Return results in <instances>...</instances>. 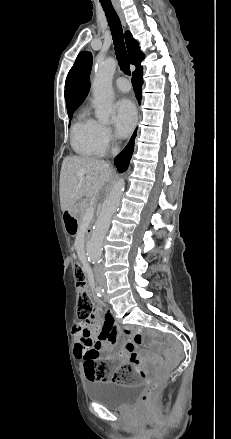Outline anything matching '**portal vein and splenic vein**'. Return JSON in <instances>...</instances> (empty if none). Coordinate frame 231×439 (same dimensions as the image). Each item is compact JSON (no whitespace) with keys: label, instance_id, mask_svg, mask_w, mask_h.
I'll return each instance as SVG.
<instances>
[{"label":"portal vein and splenic vein","instance_id":"obj_1","mask_svg":"<svg viewBox=\"0 0 231 439\" xmlns=\"http://www.w3.org/2000/svg\"><path fill=\"white\" fill-rule=\"evenodd\" d=\"M93 215H94V206L90 204L89 207L87 208L85 219H91Z\"/></svg>","mask_w":231,"mask_h":439}]
</instances>
